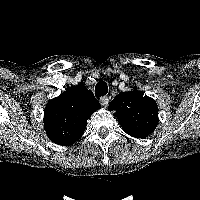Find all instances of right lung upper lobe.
Here are the masks:
<instances>
[{
  "label": "right lung upper lobe",
  "instance_id": "obj_1",
  "mask_svg": "<svg viewBox=\"0 0 200 200\" xmlns=\"http://www.w3.org/2000/svg\"><path fill=\"white\" fill-rule=\"evenodd\" d=\"M99 108L91 91L82 85L69 88L47 104L45 130L53 142L71 145L83 135L87 120Z\"/></svg>",
  "mask_w": 200,
  "mask_h": 200
}]
</instances>
